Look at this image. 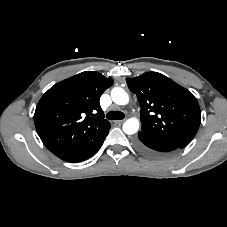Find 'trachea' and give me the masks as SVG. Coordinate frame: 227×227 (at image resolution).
<instances>
[{"label":"trachea","instance_id":"trachea-1","mask_svg":"<svg viewBox=\"0 0 227 227\" xmlns=\"http://www.w3.org/2000/svg\"><path fill=\"white\" fill-rule=\"evenodd\" d=\"M125 114L121 111H110L107 113L106 118L108 120H122L124 119Z\"/></svg>","mask_w":227,"mask_h":227}]
</instances>
